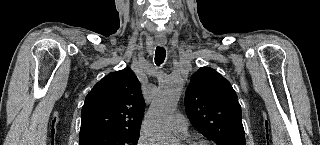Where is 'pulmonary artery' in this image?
<instances>
[{
	"label": "pulmonary artery",
	"mask_w": 320,
	"mask_h": 145,
	"mask_svg": "<svg viewBox=\"0 0 320 145\" xmlns=\"http://www.w3.org/2000/svg\"><path fill=\"white\" fill-rule=\"evenodd\" d=\"M169 127L180 138L187 137L188 121L181 113H175L171 116Z\"/></svg>",
	"instance_id": "1"
}]
</instances>
